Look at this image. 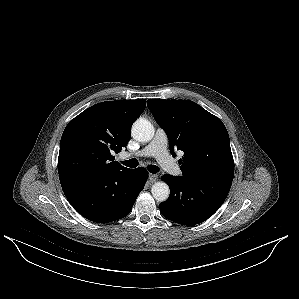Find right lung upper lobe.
I'll return each mask as SVG.
<instances>
[{"mask_svg": "<svg viewBox=\"0 0 299 299\" xmlns=\"http://www.w3.org/2000/svg\"><path fill=\"white\" fill-rule=\"evenodd\" d=\"M146 100L105 101L89 107L66 126L58 157L62 176H92L127 170L113 152H120L131 137V126L144 111Z\"/></svg>", "mask_w": 299, "mask_h": 299, "instance_id": "obj_1", "label": "right lung upper lobe"}]
</instances>
